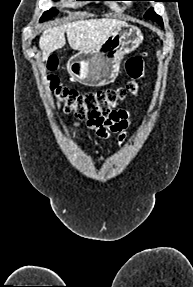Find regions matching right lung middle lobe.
Listing matches in <instances>:
<instances>
[{
    "label": "right lung middle lobe",
    "mask_w": 193,
    "mask_h": 287,
    "mask_svg": "<svg viewBox=\"0 0 193 287\" xmlns=\"http://www.w3.org/2000/svg\"><path fill=\"white\" fill-rule=\"evenodd\" d=\"M77 1H86V0H77ZM91 1H94V0H91ZM58 13L57 10H55L54 8L53 9H50L48 11H45L44 14L42 15L40 21H44V20H47L53 16H55L56 14Z\"/></svg>",
    "instance_id": "obj_1"
}]
</instances>
